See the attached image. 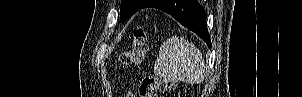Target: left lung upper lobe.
<instances>
[{
  "mask_svg": "<svg viewBox=\"0 0 302 97\" xmlns=\"http://www.w3.org/2000/svg\"><path fill=\"white\" fill-rule=\"evenodd\" d=\"M153 0H122L120 21L125 22L131 15L142 8L148 7Z\"/></svg>",
  "mask_w": 302,
  "mask_h": 97,
  "instance_id": "left-lung-upper-lobe-1",
  "label": "left lung upper lobe"
}]
</instances>
